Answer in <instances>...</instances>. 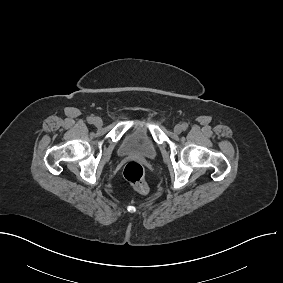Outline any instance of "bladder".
Here are the masks:
<instances>
[{"label": "bladder", "instance_id": "1", "mask_svg": "<svg viewBox=\"0 0 283 283\" xmlns=\"http://www.w3.org/2000/svg\"><path fill=\"white\" fill-rule=\"evenodd\" d=\"M117 153L121 157L154 158L157 153L156 143L145 124H137L122 137Z\"/></svg>", "mask_w": 283, "mask_h": 283}]
</instances>
